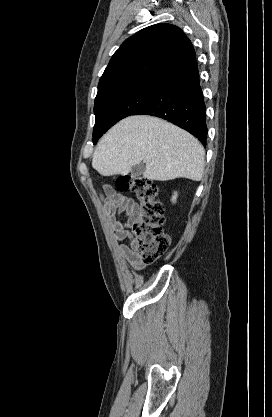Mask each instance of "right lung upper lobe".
<instances>
[{
    "mask_svg": "<svg viewBox=\"0 0 272 417\" xmlns=\"http://www.w3.org/2000/svg\"><path fill=\"white\" fill-rule=\"evenodd\" d=\"M194 60L192 43L179 27L162 23L142 29L112 56L99 81L95 101L126 88L161 86Z\"/></svg>",
    "mask_w": 272,
    "mask_h": 417,
    "instance_id": "1",
    "label": "right lung upper lobe"
}]
</instances>
